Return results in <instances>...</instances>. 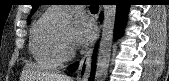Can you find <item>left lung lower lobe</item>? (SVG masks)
I'll return each mask as SVG.
<instances>
[{"label":"left lung lower lobe","mask_w":169,"mask_h":81,"mask_svg":"<svg viewBox=\"0 0 169 81\" xmlns=\"http://www.w3.org/2000/svg\"><path fill=\"white\" fill-rule=\"evenodd\" d=\"M128 9H129V5L117 4L116 20H115V32L117 35L122 32L127 17ZM100 20H102V14L100 15ZM94 64L95 62L93 61V65H92L93 69H94ZM77 66L78 63H74L71 66H69V70L73 72L76 70ZM93 74H94V70H92V75Z\"/></svg>","instance_id":"left-lung-lower-lobe-1"}]
</instances>
